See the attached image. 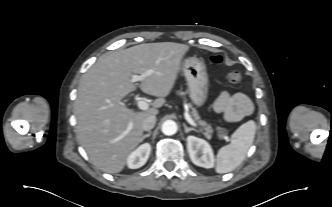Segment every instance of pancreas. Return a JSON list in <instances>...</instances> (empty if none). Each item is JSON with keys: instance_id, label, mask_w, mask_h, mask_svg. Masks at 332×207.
Listing matches in <instances>:
<instances>
[{"instance_id": "cf45deb5", "label": "pancreas", "mask_w": 332, "mask_h": 207, "mask_svg": "<svg viewBox=\"0 0 332 207\" xmlns=\"http://www.w3.org/2000/svg\"><path fill=\"white\" fill-rule=\"evenodd\" d=\"M192 116L198 122L199 125L204 126V135L207 139H210L211 134L213 132L212 127L209 124H207L205 121L200 120V116L198 115V112L195 109L192 110ZM224 134H226V132H223L222 134H220V136Z\"/></svg>"}]
</instances>
